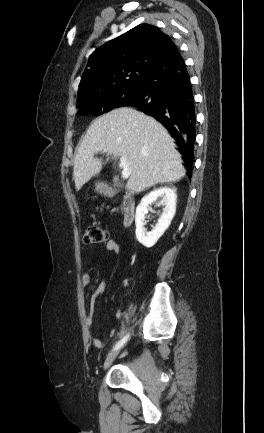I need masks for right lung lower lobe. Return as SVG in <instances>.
<instances>
[{
    "label": "right lung lower lobe",
    "mask_w": 264,
    "mask_h": 433,
    "mask_svg": "<svg viewBox=\"0 0 264 433\" xmlns=\"http://www.w3.org/2000/svg\"><path fill=\"white\" fill-rule=\"evenodd\" d=\"M140 87V92L122 106L134 107L167 128L184 154L191 177L196 115L190 77L179 51L153 70Z\"/></svg>",
    "instance_id": "1"
}]
</instances>
